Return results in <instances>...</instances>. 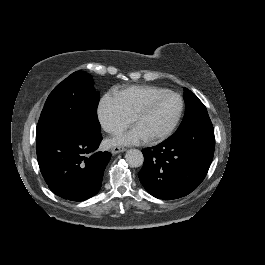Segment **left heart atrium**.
<instances>
[{"mask_svg": "<svg viewBox=\"0 0 265 265\" xmlns=\"http://www.w3.org/2000/svg\"><path fill=\"white\" fill-rule=\"evenodd\" d=\"M148 138L147 134L138 126L128 132L119 133L111 140L113 144H136Z\"/></svg>", "mask_w": 265, "mask_h": 265, "instance_id": "1", "label": "left heart atrium"}]
</instances>
